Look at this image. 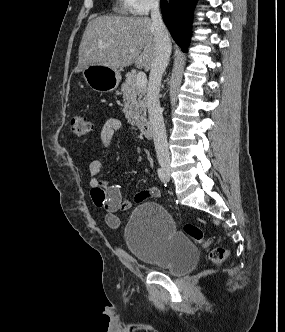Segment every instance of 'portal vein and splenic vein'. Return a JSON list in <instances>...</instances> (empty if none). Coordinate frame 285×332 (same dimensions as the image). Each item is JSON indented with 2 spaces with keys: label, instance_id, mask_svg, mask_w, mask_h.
Masks as SVG:
<instances>
[{
  "label": "portal vein and splenic vein",
  "instance_id": "1",
  "mask_svg": "<svg viewBox=\"0 0 285 332\" xmlns=\"http://www.w3.org/2000/svg\"><path fill=\"white\" fill-rule=\"evenodd\" d=\"M136 83L138 87H144L147 83V77L144 72H139L137 74Z\"/></svg>",
  "mask_w": 285,
  "mask_h": 332
}]
</instances>
